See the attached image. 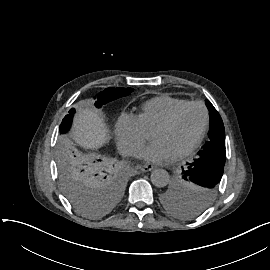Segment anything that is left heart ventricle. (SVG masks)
I'll use <instances>...</instances> for the list:
<instances>
[{
  "label": "left heart ventricle",
  "mask_w": 270,
  "mask_h": 270,
  "mask_svg": "<svg viewBox=\"0 0 270 270\" xmlns=\"http://www.w3.org/2000/svg\"><path fill=\"white\" fill-rule=\"evenodd\" d=\"M203 122V112L199 107L187 109L170 128L154 129L149 138L168 143L176 155L187 149L198 137Z\"/></svg>",
  "instance_id": "obj_1"
}]
</instances>
